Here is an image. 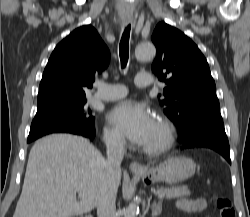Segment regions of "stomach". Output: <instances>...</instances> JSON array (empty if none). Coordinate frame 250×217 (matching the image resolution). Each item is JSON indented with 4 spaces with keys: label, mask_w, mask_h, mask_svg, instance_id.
<instances>
[{
    "label": "stomach",
    "mask_w": 250,
    "mask_h": 217,
    "mask_svg": "<svg viewBox=\"0 0 250 217\" xmlns=\"http://www.w3.org/2000/svg\"><path fill=\"white\" fill-rule=\"evenodd\" d=\"M196 170V164L190 158L171 157L157 166L149 168L139 176L148 183L166 182L176 184L191 178Z\"/></svg>",
    "instance_id": "stomach-1"
}]
</instances>
